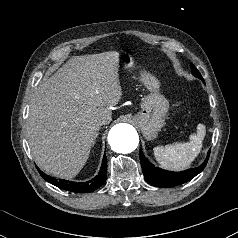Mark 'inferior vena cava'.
Masks as SVG:
<instances>
[{
    "label": "inferior vena cava",
    "mask_w": 238,
    "mask_h": 238,
    "mask_svg": "<svg viewBox=\"0 0 238 238\" xmlns=\"http://www.w3.org/2000/svg\"><path fill=\"white\" fill-rule=\"evenodd\" d=\"M104 124H107L106 120H99V121H97L96 125L99 127V126H102Z\"/></svg>",
    "instance_id": "602c4592"
}]
</instances>
